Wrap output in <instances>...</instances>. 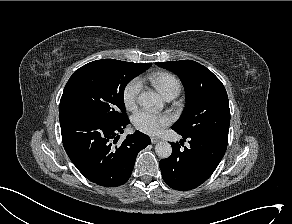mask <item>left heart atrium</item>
<instances>
[{"label": "left heart atrium", "mask_w": 292, "mask_h": 224, "mask_svg": "<svg viewBox=\"0 0 292 224\" xmlns=\"http://www.w3.org/2000/svg\"><path fill=\"white\" fill-rule=\"evenodd\" d=\"M169 122L168 116L159 115L149 110H141L133 117L135 128L147 134H157Z\"/></svg>", "instance_id": "obj_1"}]
</instances>
